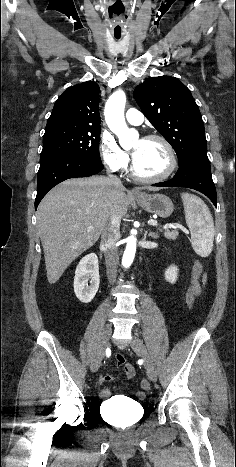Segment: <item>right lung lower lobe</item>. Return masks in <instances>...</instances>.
I'll return each instance as SVG.
<instances>
[{
	"label": "right lung lower lobe",
	"mask_w": 236,
	"mask_h": 467,
	"mask_svg": "<svg viewBox=\"0 0 236 467\" xmlns=\"http://www.w3.org/2000/svg\"><path fill=\"white\" fill-rule=\"evenodd\" d=\"M103 169L102 163H95L75 155H56L41 160L37 180L35 208L46 193L58 183L76 177H88Z\"/></svg>",
	"instance_id": "98d812e1"
}]
</instances>
